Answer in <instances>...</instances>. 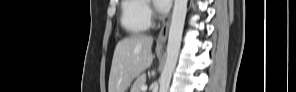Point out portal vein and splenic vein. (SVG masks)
Here are the masks:
<instances>
[{
  "label": "portal vein and splenic vein",
  "instance_id": "obj_1",
  "mask_svg": "<svg viewBox=\"0 0 296 92\" xmlns=\"http://www.w3.org/2000/svg\"><path fill=\"white\" fill-rule=\"evenodd\" d=\"M141 90H142V91H146V90H147V86H146V85H142V86H141Z\"/></svg>",
  "mask_w": 296,
  "mask_h": 92
}]
</instances>
